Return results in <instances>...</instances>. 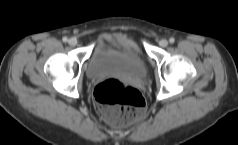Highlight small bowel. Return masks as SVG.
<instances>
[{"instance_id": "obj_1", "label": "small bowel", "mask_w": 238, "mask_h": 145, "mask_svg": "<svg viewBox=\"0 0 238 145\" xmlns=\"http://www.w3.org/2000/svg\"><path fill=\"white\" fill-rule=\"evenodd\" d=\"M103 40L110 41V40H111V36L105 35L104 38H103Z\"/></svg>"}]
</instances>
